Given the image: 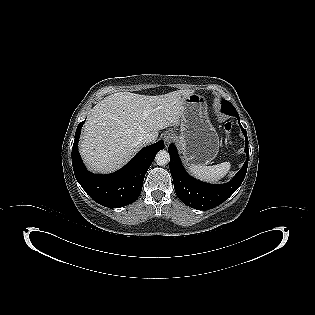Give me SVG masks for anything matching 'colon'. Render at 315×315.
Returning a JSON list of instances; mask_svg holds the SVG:
<instances>
[{
	"label": "colon",
	"mask_w": 315,
	"mask_h": 315,
	"mask_svg": "<svg viewBox=\"0 0 315 315\" xmlns=\"http://www.w3.org/2000/svg\"><path fill=\"white\" fill-rule=\"evenodd\" d=\"M223 129L227 135V137H230L231 131H232V124L230 122H226L223 126Z\"/></svg>",
	"instance_id": "1"
}]
</instances>
